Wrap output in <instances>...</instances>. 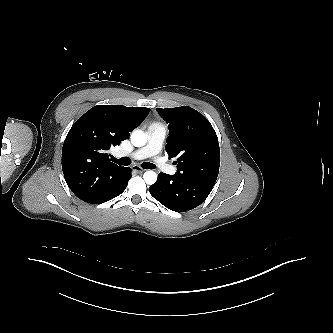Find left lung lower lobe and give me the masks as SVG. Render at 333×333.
Segmentation results:
<instances>
[{"label": "left lung lower lobe", "instance_id": "1", "mask_svg": "<svg viewBox=\"0 0 333 333\" xmlns=\"http://www.w3.org/2000/svg\"><path fill=\"white\" fill-rule=\"evenodd\" d=\"M212 188L211 185L183 180L176 175L159 173L158 180L149 190L150 194L168 209L186 212L203 203Z\"/></svg>", "mask_w": 333, "mask_h": 333}]
</instances>
